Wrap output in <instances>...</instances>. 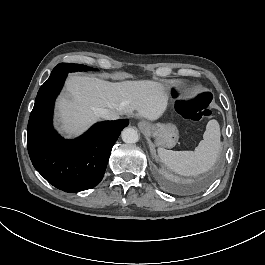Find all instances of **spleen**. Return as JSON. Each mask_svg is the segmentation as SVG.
I'll use <instances>...</instances> for the list:
<instances>
[{"label": "spleen", "instance_id": "spleen-1", "mask_svg": "<svg viewBox=\"0 0 265 265\" xmlns=\"http://www.w3.org/2000/svg\"><path fill=\"white\" fill-rule=\"evenodd\" d=\"M220 148V129L216 120L206 126L203 140L194 151H174L158 148L160 159L173 171L181 175H197L211 168Z\"/></svg>", "mask_w": 265, "mask_h": 265}]
</instances>
